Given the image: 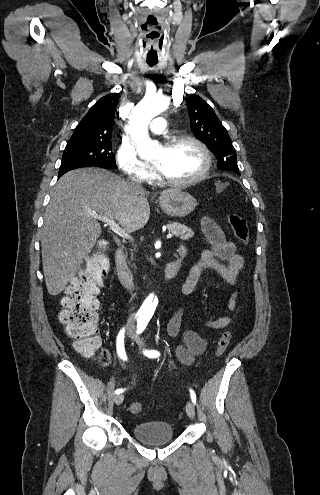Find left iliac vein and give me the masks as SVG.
I'll use <instances>...</instances> for the list:
<instances>
[{"mask_svg":"<svg viewBox=\"0 0 320 495\" xmlns=\"http://www.w3.org/2000/svg\"><path fill=\"white\" fill-rule=\"evenodd\" d=\"M137 342L138 344L143 347L144 346V341L142 340V338H138L137 339ZM186 412L188 414V416L191 418V419H194L195 417V409H194V405L191 401H188L187 404H186Z\"/></svg>","mask_w":320,"mask_h":495,"instance_id":"1","label":"left iliac vein"}]
</instances>
